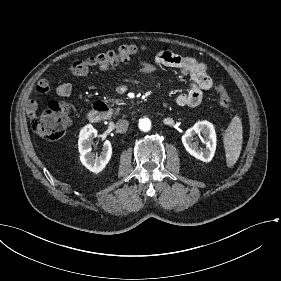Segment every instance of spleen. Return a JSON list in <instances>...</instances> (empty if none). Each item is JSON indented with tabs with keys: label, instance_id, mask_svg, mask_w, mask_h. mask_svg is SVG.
Returning a JSON list of instances; mask_svg holds the SVG:
<instances>
[{
	"label": "spleen",
	"instance_id": "1",
	"mask_svg": "<svg viewBox=\"0 0 281 281\" xmlns=\"http://www.w3.org/2000/svg\"><path fill=\"white\" fill-rule=\"evenodd\" d=\"M226 164L228 167L234 166L237 162L243 142V128L241 119L235 116L223 136Z\"/></svg>",
	"mask_w": 281,
	"mask_h": 281
}]
</instances>
